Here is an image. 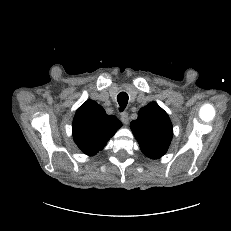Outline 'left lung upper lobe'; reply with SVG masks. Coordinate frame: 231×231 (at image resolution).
Masks as SVG:
<instances>
[{
    "label": "left lung upper lobe",
    "instance_id": "left-lung-upper-lobe-1",
    "mask_svg": "<svg viewBox=\"0 0 231 231\" xmlns=\"http://www.w3.org/2000/svg\"><path fill=\"white\" fill-rule=\"evenodd\" d=\"M130 128L147 157L158 159L167 152L173 127L168 114L156 102L140 109Z\"/></svg>",
    "mask_w": 231,
    "mask_h": 231
}]
</instances>
